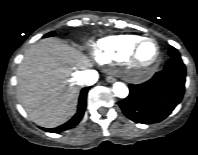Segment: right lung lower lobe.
<instances>
[{
  "label": "right lung lower lobe",
  "instance_id": "obj_1",
  "mask_svg": "<svg viewBox=\"0 0 198 155\" xmlns=\"http://www.w3.org/2000/svg\"><path fill=\"white\" fill-rule=\"evenodd\" d=\"M89 88H83L79 97V104H78V110L75 116L67 123L57 127V128H52V129H46L42 128L45 131L52 132V133H58L70 128H73L75 125L79 123L81 118L83 117L85 108H86V97H87V92Z\"/></svg>",
  "mask_w": 198,
  "mask_h": 155
}]
</instances>
